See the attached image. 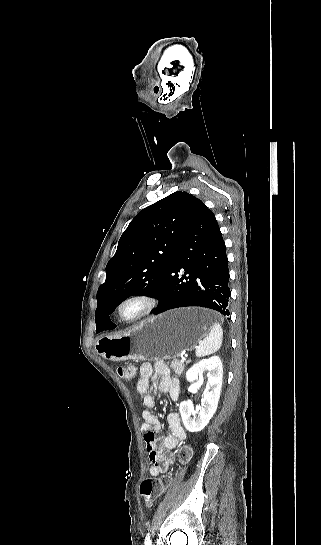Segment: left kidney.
<instances>
[{"instance_id":"obj_1","label":"left kidney","mask_w":321,"mask_h":545,"mask_svg":"<svg viewBox=\"0 0 321 545\" xmlns=\"http://www.w3.org/2000/svg\"><path fill=\"white\" fill-rule=\"evenodd\" d=\"M203 371H208V379L203 391L201 405H196L195 411H193V403L183 401L179 407L183 425L189 433H199V431H202L208 425L218 407L220 399L223 369L219 357H210V359H202L199 363H195L186 373L187 381L189 383L198 381ZM194 413H197V417Z\"/></svg>"}]
</instances>
